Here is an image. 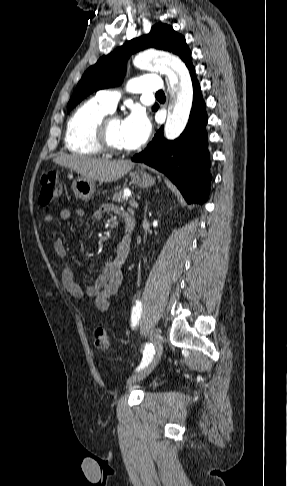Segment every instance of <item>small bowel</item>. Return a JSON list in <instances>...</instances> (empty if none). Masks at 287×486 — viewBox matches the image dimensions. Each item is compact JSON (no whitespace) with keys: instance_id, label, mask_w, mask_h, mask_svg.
<instances>
[{"instance_id":"small-bowel-1","label":"small bowel","mask_w":287,"mask_h":486,"mask_svg":"<svg viewBox=\"0 0 287 486\" xmlns=\"http://www.w3.org/2000/svg\"><path fill=\"white\" fill-rule=\"evenodd\" d=\"M105 214L120 215L123 218L129 215L114 204H104L93 211L92 218L100 220ZM72 217L83 218L85 217V211L81 208L61 210L60 219L67 221ZM55 219V216L50 213L44 216L46 224L53 223ZM53 248L58 258L62 261L61 279L63 288L77 299L84 297L94 298L97 308L100 311H106L109 307L110 298L117 293L122 283V268L129 254L130 239L126 241L123 235L116 246L114 257L99 265L95 269L92 279L88 278L82 282H76L73 278L72 271L66 261L67 250L63 239H56Z\"/></svg>"}]
</instances>
